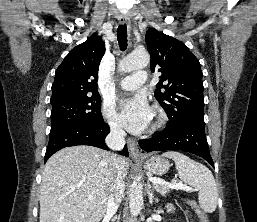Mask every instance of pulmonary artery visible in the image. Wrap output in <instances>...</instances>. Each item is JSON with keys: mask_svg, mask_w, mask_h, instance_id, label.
<instances>
[{"mask_svg": "<svg viewBox=\"0 0 257 222\" xmlns=\"http://www.w3.org/2000/svg\"><path fill=\"white\" fill-rule=\"evenodd\" d=\"M147 80L146 73L139 71L131 76L125 77L120 82V87L123 90H134L144 84Z\"/></svg>", "mask_w": 257, "mask_h": 222, "instance_id": "pulmonary-artery-1", "label": "pulmonary artery"}]
</instances>
